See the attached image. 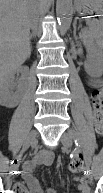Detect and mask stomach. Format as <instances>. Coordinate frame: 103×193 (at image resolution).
<instances>
[{"label":"stomach","mask_w":103,"mask_h":193,"mask_svg":"<svg viewBox=\"0 0 103 193\" xmlns=\"http://www.w3.org/2000/svg\"><path fill=\"white\" fill-rule=\"evenodd\" d=\"M75 7L80 14H99L103 9V0H75Z\"/></svg>","instance_id":"1"}]
</instances>
